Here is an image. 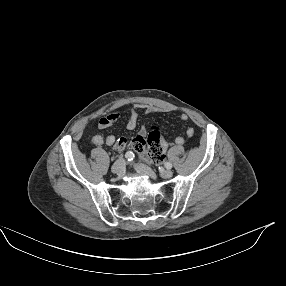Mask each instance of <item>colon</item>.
<instances>
[{
    "mask_svg": "<svg viewBox=\"0 0 286 286\" xmlns=\"http://www.w3.org/2000/svg\"><path fill=\"white\" fill-rule=\"evenodd\" d=\"M163 135L159 128L152 127L146 136H137L131 141L118 139L115 147L124 148L131 146L141 157L149 160H159L164 156L165 147L163 145Z\"/></svg>",
    "mask_w": 286,
    "mask_h": 286,
    "instance_id": "obj_1",
    "label": "colon"
}]
</instances>
